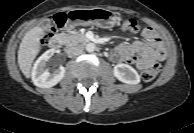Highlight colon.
<instances>
[{
  "instance_id": "obj_1",
  "label": "colon",
  "mask_w": 194,
  "mask_h": 133,
  "mask_svg": "<svg viewBox=\"0 0 194 133\" xmlns=\"http://www.w3.org/2000/svg\"><path fill=\"white\" fill-rule=\"evenodd\" d=\"M66 21L65 15H58L56 16L53 21L47 24L45 27L43 36H42V42L45 43L54 33V31L62 27ZM122 27L125 30L136 32L139 28L138 22L135 19H125L122 21ZM160 70V65L158 63L154 64L152 67L144 70L142 72V78L144 81H151L153 80L156 75L158 74Z\"/></svg>"
}]
</instances>
